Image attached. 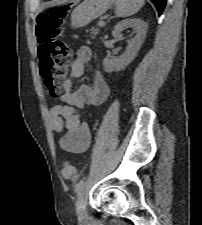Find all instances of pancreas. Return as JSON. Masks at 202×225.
<instances>
[{
  "label": "pancreas",
  "mask_w": 202,
  "mask_h": 225,
  "mask_svg": "<svg viewBox=\"0 0 202 225\" xmlns=\"http://www.w3.org/2000/svg\"><path fill=\"white\" fill-rule=\"evenodd\" d=\"M98 33H99V29L96 28V27H92V29H91V37L95 38Z\"/></svg>",
  "instance_id": "1"
}]
</instances>
